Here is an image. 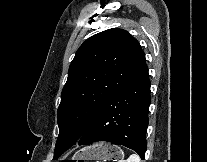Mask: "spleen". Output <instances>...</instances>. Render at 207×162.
<instances>
[{"label": "spleen", "instance_id": "obj_1", "mask_svg": "<svg viewBox=\"0 0 207 162\" xmlns=\"http://www.w3.org/2000/svg\"><path fill=\"white\" fill-rule=\"evenodd\" d=\"M140 160L141 159H140V157L138 155L132 154V155L129 156V158L126 161L121 160L119 162H140Z\"/></svg>", "mask_w": 207, "mask_h": 162}]
</instances>
